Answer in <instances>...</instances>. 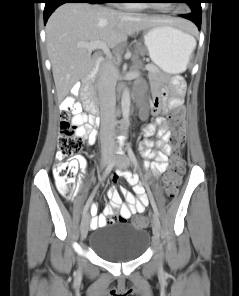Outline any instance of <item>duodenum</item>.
<instances>
[{"label": "duodenum", "mask_w": 239, "mask_h": 296, "mask_svg": "<svg viewBox=\"0 0 239 296\" xmlns=\"http://www.w3.org/2000/svg\"><path fill=\"white\" fill-rule=\"evenodd\" d=\"M98 61L91 70L90 74L76 86V92H82V103L84 108L91 114V122L94 127L100 125L99 107L93 96L92 87L99 69Z\"/></svg>", "instance_id": "1"}]
</instances>
